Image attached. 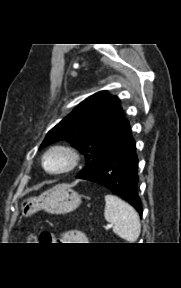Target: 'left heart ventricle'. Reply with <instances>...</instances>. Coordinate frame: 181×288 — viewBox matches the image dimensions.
Listing matches in <instances>:
<instances>
[{
  "instance_id": "1",
  "label": "left heart ventricle",
  "mask_w": 181,
  "mask_h": 288,
  "mask_svg": "<svg viewBox=\"0 0 181 288\" xmlns=\"http://www.w3.org/2000/svg\"><path fill=\"white\" fill-rule=\"evenodd\" d=\"M67 164L66 157L61 153H53L46 160V167L55 171L63 168Z\"/></svg>"
}]
</instances>
